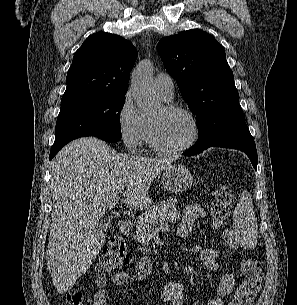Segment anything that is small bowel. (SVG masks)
<instances>
[{
	"instance_id": "small-bowel-1",
	"label": "small bowel",
	"mask_w": 297,
	"mask_h": 305,
	"mask_svg": "<svg viewBox=\"0 0 297 305\" xmlns=\"http://www.w3.org/2000/svg\"><path fill=\"white\" fill-rule=\"evenodd\" d=\"M205 215V210L198 203H192L186 207L182 220L178 226L177 234L179 237H188L195 221ZM224 242L231 248L243 250L240 236L232 229H226L223 233ZM178 249L183 253H198L201 255L206 268L216 269L219 265L218 259L220 252L217 249L210 248L204 244H196L189 246H179ZM152 270V262L148 257H143L136 265L135 271L130 274L125 271H117L110 275L112 282L118 286H124L131 281L142 280L146 278ZM106 276H98L96 284L98 290L95 292L91 305H104L116 291L106 287ZM236 284V276L234 274H226L218 281L214 296L206 303V305H224L226 299L231 295ZM121 295L127 296L130 305H135L138 300L137 293L130 288H124L118 291ZM163 305H185V294L183 286L178 281L168 282L161 295Z\"/></svg>"
}]
</instances>
